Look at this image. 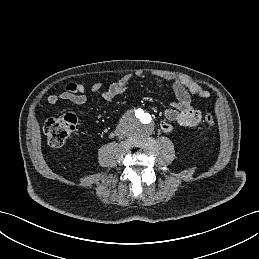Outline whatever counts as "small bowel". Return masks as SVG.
<instances>
[{
    "label": "small bowel",
    "mask_w": 259,
    "mask_h": 259,
    "mask_svg": "<svg viewBox=\"0 0 259 259\" xmlns=\"http://www.w3.org/2000/svg\"><path fill=\"white\" fill-rule=\"evenodd\" d=\"M137 76L143 77L146 73L143 70L136 72ZM153 75L167 81L177 98L172 103V107L164 111V120L160 124V128L165 133H170L173 130L172 123H177L183 127H195L202 119L200 110L194 108L191 104L190 94L198 95L203 98H208L210 93L201 84L193 81L191 78L182 75H176L172 72H155ZM131 75L127 74L118 81L112 83L107 90L101 93L102 98L106 103L112 102L116 97L124 93ZM103 84L95 83L92 88V93H98ZM88 100L85 93V88L80 83H69L64 87L60 94H52L47 96L43 101L49 105H55L60 101H68L74 104H84Z\"/></svg>",
    "instance_id": "small-bowel-1"
}]
</instances>
